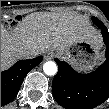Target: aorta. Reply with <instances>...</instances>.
Instances as JSON below:
<instances>
[{"mask_svg":"<svg viewBox=\"0 0 109 109\" xmlns=\"http://www.w3.org/2000/svg\"><path fill=\"white\" fill-rule=\"evenodd\" d=\"M43 70L46 75L53 76L57 73V65L53 61H47L43 65Z\"/></svg>","mask_w":109,"mask_h":109,"instance_id":"obj_1","label":"aorta"}]
</instances>
